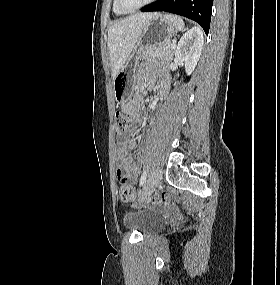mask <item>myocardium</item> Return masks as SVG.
Returning a JSON list of instances; mask_svg holds the SVG:
<instances>
[{
	"label": "myocardium",
	"instance_id": "myocardium-1",
	"mask_svg": "<svg viewBox=\"0 0 280 285\" xmlns=\"http://www.w3.org/2000/svg\"><path fill=\"white\" fill-rule=\"evenodd\" d=\"M156 0H146L145 2H143L142 4L138 5V6H134V7H127L124 5L122 0H116L117 6L119 7V9L125 13H130V12H134L137 11L141 8H144L145 6L153 3Z\"/></svg>",
	"mask_w": 280,
	"mask_h": 285
}]
</instances>
